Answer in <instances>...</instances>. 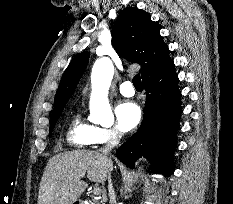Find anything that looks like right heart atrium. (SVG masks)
Listing matches in <instances>:
<instances>
[{"mask_svg":"<svg viewBox=\"0 0 233 204\" xmlns=\"http://www.w3.org/2000/svg\"><path fill=\"white\" fill-rule=\"evenodd\" d=\"M120 133L115 128H106V127H96L93 144H106L112 143L119 139Z\"/></svg>","mask_w":233,"mask_h":204,"instance_id":"obj_1","label":"right heart atrium"}]
</instances>
